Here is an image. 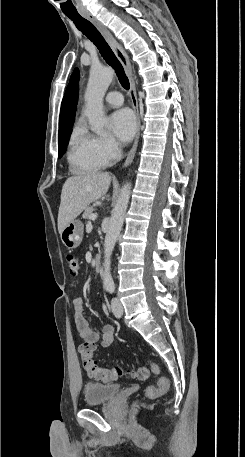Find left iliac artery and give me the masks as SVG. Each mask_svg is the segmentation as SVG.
Instances as JSON below:
<instances>
[{
  "mask_svg": "<svg viewBox=\"0 0 245 457\" xmlns=\"http://www.w3.org/2000/svg\"><path fill=\"white\" fill-rule=\"evenodd\" d=\"M107 290H108L110 293H113L114 290H115V286H114V285L107 286Z\"/></svg>",
  "mask_w": 245,
  "mask_h": 457,
  "instance_id": "obj_1",
  "label": "left iliac artery"
}]
</instances>
